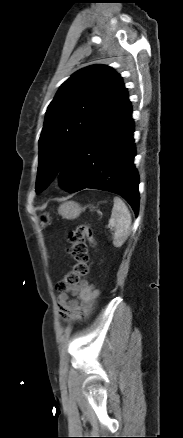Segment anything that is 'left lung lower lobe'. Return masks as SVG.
Here are the masks:
<instances>
[{"instance_id": "left-lung-lower-lobe-1", "label": "left lung lower lobe", "mask_w": 183, "mask_h": 438, "mask_svg": "<svg viewBox=\"0 0 183 438\" xmlns=\"http://www.w3.org/2000/svg\"><path fill=\"white\" fill-rule=\"evenodd\" d=\"M131 103L127 101L84 139L60 169V185L66 191L85 188L110 191L139 210V176L133 160L135 146Z\"/></svg>"}]
</instances>
